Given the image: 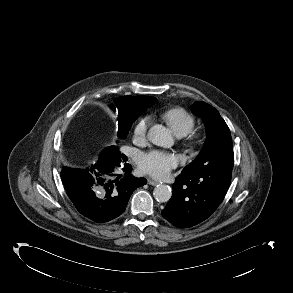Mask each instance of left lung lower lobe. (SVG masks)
I'll return each instance as SVG.
<instances>
[{
	"mask_svg": "<svg viewBox=\"0 0 293 293\" xmlns=\"http://www.w3.org/2000/svg\"><path fill=\"white\" fill-rule=\"evenodd\" d=\"M231 169L182 172L176 177L173 194L162 215L179 228L207 219L224 199L231 181Z\"/></svg>",
	"mask_w": 293,
	"mask_h": 293,
	"instance_id": "1",
	"label": "left lung lower lobe"
}]
</instances>
